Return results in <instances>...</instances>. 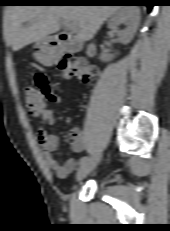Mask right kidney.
<instances>
[{
  "label": "right kidney",
  "instance_id": "ca27d5eb",
  "mask_svg": "<svg viewBox=\"0 0 170 231\" xmlns=\"http://www.w3.org/2000/svg\"><path fill=\"white\" fill-rule=\"evenodd\" d=\"M140 22V10L135 6L122 7L109 20L108 27L114 30L119 41L123 44H128L134 37ZM124 23L126 28L118 30V26ZM114 57L111 54H104L101 56L102 61H109Z\"/></svg>",
  "mask_w": 170,
  "mask_h": 231
}]
</instances>
